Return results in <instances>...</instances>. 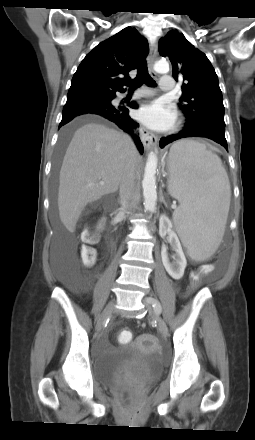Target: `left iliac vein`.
<instances>
[{"label": "left iliac vein", "mask_w": 255, "mask_h": 440, "mask_svg": "<svg viewBox=\"0 0 255 440\" xmlns=\"http://www.w3.org/2000/svg\"><path fill=\"white\" fill-rule=\"evenodd\" d=\"M149 297H146L143 299L144 304L146 305V308L148 310L149 315L156 321L157 327L159 332L163 337L168 336V327L165 323V321L162 319V317L157 313L154 308L151 306V304L148 301Z\"/></svg>", "instance_id": "left-iliac-vein-1"}]
</instances>
